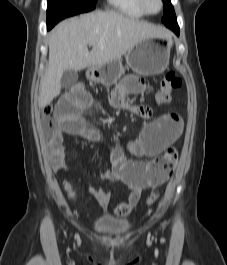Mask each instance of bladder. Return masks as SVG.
Instances as JSON below:
<instances>
[{"label":"bladder","instance_id":"1","mask_svg":"<svg viewBox=\"0 0 227 265\" xmlns=\"http://www.w3.org/2000/svg\"><path fill=\"white\" fill-rule=\"evenodd\" d=\"M97 233L110 237H121L128 233L129 227L114 222H99L94 226Z\"/></svg>","mask_w":227,"mask_h":265}]
</instances>
